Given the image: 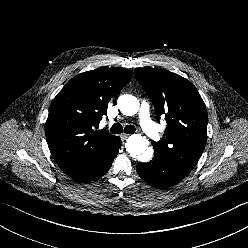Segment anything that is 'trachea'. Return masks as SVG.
<instances>
[{
	"label": "trachea",
	"instance_id": "1",
	"mask_svg": "<svg viewBox=\"0 0 248 248\" xmlns=\"http://www.w3.org/2000/svg\"><path fill=\"white\" fill-rule=\"evenodd\" d=\"M124 131V133H129L132 134L136 131L135 127L132 125H127L125 126V128L122 127L121 124L119 123H115L112 127H111V132L113 134H119L122 133Z\"/></svg>",
	"mask_w": 248,
	"mask_h": 248
}]
</instances>
